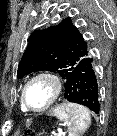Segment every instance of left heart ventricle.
<instances>
[{
  "instance_id": "left-heart-ventricle-1",
  "label": "left heart ventricle",
  "mask_w": 117,
  "mask_h": 136,
  "mask_svg": "<svg viewBox=\"0 0 117 136\" xmlns=\"http://www.w3.org/2000/svg\"><path fill=\"white\" fill-rule=\"evenodd\" d=\"M52 87L46 80H37L31 83L26 92V99L29 107L40 109L50 100Z\"/></svg>"
}]
</instances>
